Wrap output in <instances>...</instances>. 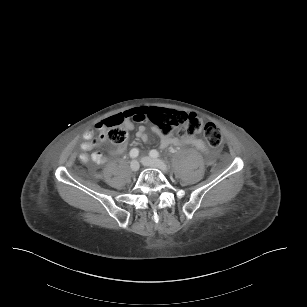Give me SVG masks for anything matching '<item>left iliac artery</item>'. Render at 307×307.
I'll use <instances>...</instances> for the list:
<instances>
[{"instance_id": "1", "label": "left iliac artery", "mask_w": 307, "mask_h": 307, "mask_svg": "<svg viewBox=\"0 0 307 307\" xmlns=\"http://www.w3.org/2000/svg\"><path fill=\"white\" fill-rule=\"evenodd\" d=\"M149 155L152 157V158H157L159 157V153L156 151V150H151Z\"/></svg>"}]
</instances>
